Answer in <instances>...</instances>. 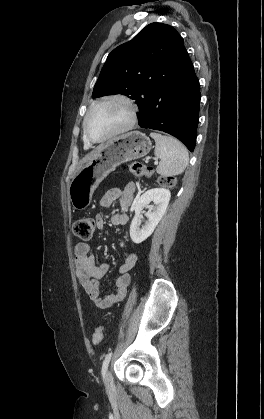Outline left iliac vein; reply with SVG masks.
Instances as JSON below:
<instances>
[{"label":"left iliac vein","instance_id":"1","mask_svg":"<svg viewBox=\"0 0 264 419\" xmlns=\"http://www.w3.org/2000/svg\"><path fill=\"white\" fill-rule=\"evenodd\" d=\"M105 381L107 388L110 389L113 386V379L110 372L106 373Z\"/></svg>","mask_w":264,"mask_h":419}]
</instances>
